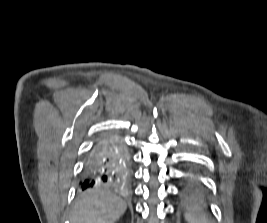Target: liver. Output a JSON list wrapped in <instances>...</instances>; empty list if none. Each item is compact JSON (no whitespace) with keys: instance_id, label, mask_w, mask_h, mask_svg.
<instances>
[{"instance_id":"liver-1","label":"liver","mask_w":267,"mask_h":223,"mask_svg":"<svg viewBox=\"0 0 267 223\" xmlns=\"http://www.w3.org/2000/svg\"><path fill=\"white\" fill-rule=\"evenodd\" d=\"M125 201L116 195L92 190L83 193L75 204L72 223H115L126 211Z\"/></svg>"}]
</instances>
